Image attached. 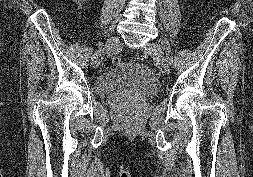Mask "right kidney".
I'll return each instance as SVG.
<instances>
[{"label":"right kidney","instance_id":"obj_1","mask_svg":"<svg viewBox=\"0 0 253 177\" xmlns=\"http://www.w3.org/2000/svg\"><path fill=\"white\" fill-rule=\"evenodd\" d=\"M72 1H75V2H82V1H84V0H72Z\"/></svg>","mask_w":253,"mask_h":177}]
</instances>
